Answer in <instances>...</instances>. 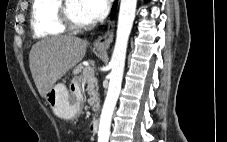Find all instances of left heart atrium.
<instances>
[{"label": "left heart atrium", "mask_w": 227, "mask_h": 142, "mask_svg": "<svg viewBox=\"0 0 227 142\" xmlns=\"http://www.w3.org/2000/svg\"><path fill=\"white\" fill-rule=\"evenodd\" d=\"M111 0H79L80 9L89 22L103 19L109 8Z\"/></svg>", "instance_id": "39dd6f15"}]
</instances>
